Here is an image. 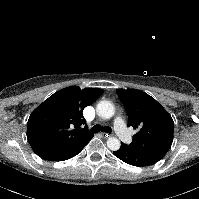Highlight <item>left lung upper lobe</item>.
<instances>
[{
    "mask_svg": "<svg viewBox=\"0 0 199 199\" xmlns=\"http://www.w3.org/2000/svg\"><path fill=\"white\" fill-rule=\"evenodd\" d=\"M129 117L128 126L138 129L128 146L162 159L173 142L174 121L153 97L134 89H117Z\"/></svg>",
    "mask_w": 199,
    "mask_h": 199,
    "instance_id": "1",
    "label": "left lung upper lobe"
}]
</instances>
